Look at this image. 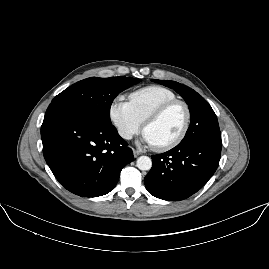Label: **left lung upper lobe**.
I'll return each instance as SVG.
<instances>
[{
    "label": "left lung upper lobe",
    "mask_w": 269,
    "mask_h": 269,
    "mask_svg": "<svg viewBox=\"0 0 269 269\" xmlns=\"http://www.w3.org/2000/svg\"><path fill=\"white\" fill-rule=\"evenodd\" d=\"M153 82L165 85L183 97L188 104L191 123L181 144H188L193 141L205 138L221 140V133L218 120L209 103L196 91L188 86L169 80H156Z\"/></svg>",
    "instance_id": "5c2ea615"
}]
</instances>
